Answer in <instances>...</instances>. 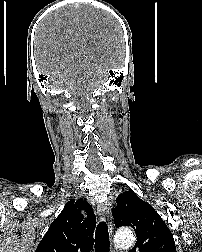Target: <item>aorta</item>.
Returning <instances> with one entry per match:
<instances>
[{
    "instance_id": "1",
    "label": "aorta",
    "mask_w": 202,
    "mask_h": 252,
    "mask_svg": "<svg viewBox=\"0 0 202 252\" xmlns=\"http://www.w3.org/2000/svg\"><path fill=\"white\" fill-rule=\"evenodd\" d=\"M135 237L131 230H120L116 233L115 242L117 248L127 249L133 245Z\"/></svg>"
}]
</instances>
